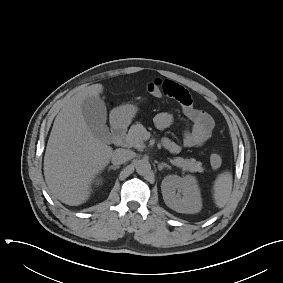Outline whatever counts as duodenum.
I'll use <instances>...</instances> for the list:
<instances>
[{"label":"duodenum","mask_w":283,"mask_h":283,"mask_svg":"<svg viewBox=\"0 0 283 283\" xmlns=\"http://www.w3.org/2000/svg\"><path fill=\"white\" fill-rule=\"evenodd\" d=\"M127 127L122 121H115L112 126L113 142L116 146H121L124 142Z\"/></svg>","instance_id":"obj_1"}]
</instances>
